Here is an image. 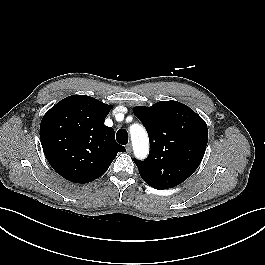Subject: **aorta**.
I'll use <instances>...</instances> for the list:
<instances>
[{"label":"aorta","instance_id":"obj_1","mask_svg":"<svg viewBox=\"0 0 265 265\" xmlns=\"http://www.w3.org/2000/svg\"><path fill=\"white\" fill-rule=\"evenodd\" d=\"M134 154L137 158H145L149 152V139L146 130L139 124L130 127Z\"/></svg>","mask_w":265,"mask_h":265}]
</instances>
